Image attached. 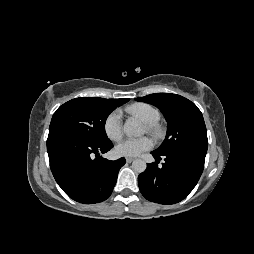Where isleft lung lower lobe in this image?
I'll return each instance as SVG.
<instances>
[{
  "instance_id": "1",
  "label": "left lung lower lobe",
  "mask_w": 254,
  "mask_h": 254,
  "mask_svg": "<svg viewBox=\"0 0 254 254\" xmlns=\"http://www.w3.org/2000/svg\"><path fill=\"white\" fill-rule=\"evenodd\" d=\"M156 162L138 176L142 195L159 204H175L182 201L196 186L204 169L206 151L183 148L165 154L151 152ZM164 157L162 167L157 163Z\"/></svg>"
}]
</instances>
